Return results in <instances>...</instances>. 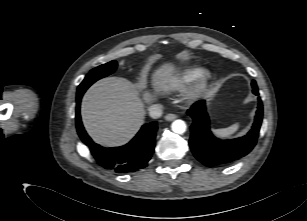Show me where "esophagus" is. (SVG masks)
<instances>
[{"mask_svg":"<svg viewBox=\"0 0 307 221\" xmlns=\"http://www.w3.org/2000/svg\"><path fill=\"white\" fill-rule=\"evenodd\" d=\"M177 118V115H175V114H167L166 116H165V120H167V121H173V120H175Z\"/></svg>","mask_w":307,"mask_h":221,"instance_id":"1","label":"esophagus"}]
</instances>
